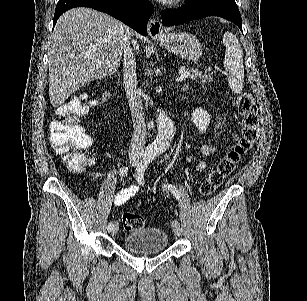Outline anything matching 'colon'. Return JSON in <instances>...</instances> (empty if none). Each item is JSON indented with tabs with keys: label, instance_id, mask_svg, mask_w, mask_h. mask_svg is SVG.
Listing matches in <instances>:
<instances>
[{
	"label": "colon",
	"instance_id": "colon-1",
	"mask_svg": "<svg viewBox=\"0 0 307 301\" xmlns=\"http://www.w3.org/2000/svg\"><path fill=\"white\" fill-rule=\"evenodd\" d=\"M90 107L91 102L86 97L72 98L57 108L51 123V146L57 153L66 155V162L74 171H81L93 163V159L82 152L92 145L91 136L81 124ZM236 107L241 116V132L235 144L202 181L199 193L203 197L210 196L223 184L258 139L259 116L254 98L249 93H242L237 98ZM122 223L126 231H136L144 226V219L126 212Z\"/></svg>",
	"mask_w": 307,
	"mask_h": 301
}]
</instances>
